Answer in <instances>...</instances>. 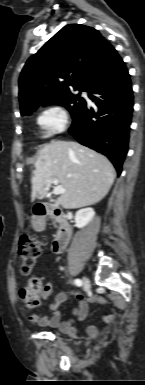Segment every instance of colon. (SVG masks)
Masks as SVG:
<instances>
[{
  "instance_id": "1",
  "label": "colon",
  "mask_w": 145,
  "mask_h": 385,
  "mask_svg": "<svg viewBox=\"0 0 145 385\" xmlns=\"http://www.w3.org/2000/svg\"><path fill=\"white\" fill-rule=\"evenodd\" d=\"M40 243L33 236L24 235L18 243V256L20 259L21 272L29 274L35 266L40 255ZM43 291V284L37 277L29 280L28 286L20 292L22 300L29 307H36L40 304V293Z\"/></svg>"
}]
</instances>
